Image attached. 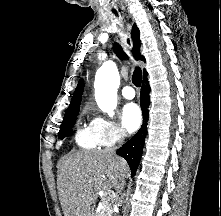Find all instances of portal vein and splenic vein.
<instances>
[{"instance_id": "obj_1", "label": "portal vein and splenic vein", "mask_w": 221, "mask_h": 216, "mask_svg": "<svg viewBox=\"0 0 221 216\" xmlns=\"http://www.w3.org/2000/svg\"><path fill=\"white\" fill-rule=\"evenodd\" d=\"M104 197H105V199L110 201V199L115 197V193L112 190H107V191L104 192Z\"/></svg>"}]
</instances>
